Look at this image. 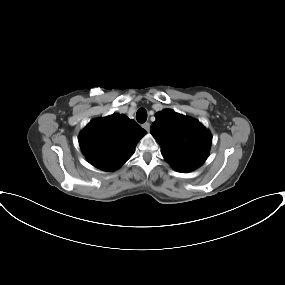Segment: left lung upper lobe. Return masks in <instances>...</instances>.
<instances>
[{"label": "left lung upper lobe", "instance_id": "obj_1", "mask_svg": "<svg viewBox=\"0 0 285 285\" xmlns=\"http://www.w3.org/2000/svg\"><path fill=\"white\" fill-rule=\"evenodd\" d=\"M150 132L165 160L177 171H192L208 157L212 137L199 121L164 109L155 115Z\"/></svg>", "mask_w": 285, "mask_h": 285}]
</instances>
